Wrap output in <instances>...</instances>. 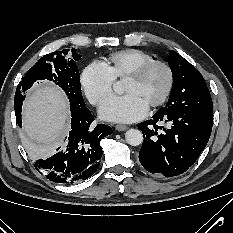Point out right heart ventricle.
<instances>
[{
  "label": "right heart ventricle",
  "mask_w": 233,
  "mask_h": 233,
  "mask_svg": "<svg viewBox=\"0 0 233 233\" xmlns=\"http://www.w3.org/2000/svg\"><path fill=\"white\" fill-rule=\"evenodd\" d=\"M152 60L153 57L142 50L125 49L109 55L104 65L114 79H125L135 68Z\"/></svg>",
  "instance_id": "obj_1"
}]
</instances>
